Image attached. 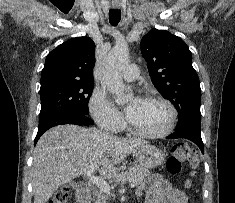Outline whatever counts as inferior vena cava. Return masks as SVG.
Here are the masks:
<instances>
[{"label":"inferior vena cava","mask_w":235,"mask_h":203,"mask_svg":"<svg viewBox=\"0 0 235 203\" xmlns=\"http://www.w3.org/2000/svg\"><path fill=\"white\" fill-rule=\"evenodd\" d=\"M103 134H104V135H108V133H107V132H104Z\"/></svg>","instance_id":"1"}]
</instances>
